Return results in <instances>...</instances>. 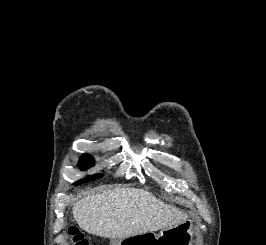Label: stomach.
<instances>
[{"mask_svg":"<svg viewBox=\"0 0 266 245\" xmlns=\"http://www.w3.org/2000/svg\"><path fill=\"white\" fill-rule=\"evenodd\" d=\"M193 223L190 219L183 221L176 227L162 229L156 237V233H133V237H123V242H158L160 245H192Z\"/></svg>","mask_w":266,"mask_h":245,"instance_id":"obj_1","label":"stomach"}]
</instances>
